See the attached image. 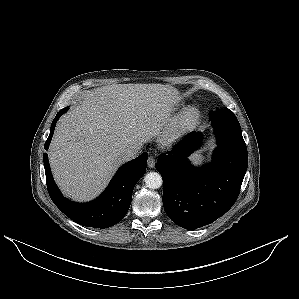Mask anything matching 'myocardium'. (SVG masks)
Segmentation results:
<instances>
[{
	"mask_svg": "<svg viewBox=\"0 0 299 299\" xmlns=\"http://www.w3.org/2000/svg\"><path fill=\"white\" fill-rule=\"evenodd\" d=\"M200 110L196 106H189L182 110L174 119L169 128L162 135L166 144L177 142L195 129L200 120Z\"/></svg>",
	"mask_w": 299,
	"mask_h": 299,
	"instance_id": "1",
	"label": "myocardium"
}]
</instances>
